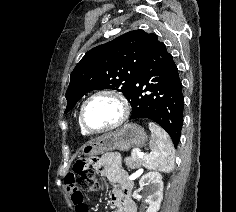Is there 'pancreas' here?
<instances>
[{"label": "pancreas", "mask_w": 236, "mask_h": 212, "mask_svg": "<svg viewBox=\"0 0 236 212\" xmlns=\"http://www.w3.org/2000/svg\"><path fill=\"white\" fill-rule=\"evenodd\" d=\"M124 161L128 169H136L140 168L141 165H143L144 159L138 158L137 156H132L126 157Z\"/></svg>", "instance_id": "cf45deb5"}]
</instances>
